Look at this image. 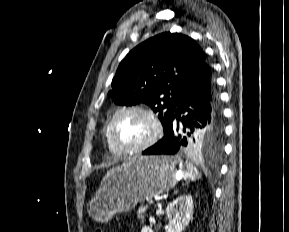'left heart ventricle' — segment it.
Instances as JSON below:
<instances>
[{
	"label": "left heart ventricle",
	"mask_w": 289,
	"mask_h": 232,
	"mask_svg": "<svg viewBox=\"0 0 289 232\" xmlns=\"http://www.w3.org/2000/svg\"><path fill=\"white\" fill-rule=\"evenodd\" d=\"M152 131L149 120L141 113L121 114L114 126L116 141L123 146H136L148 139Z\"/></svg>",
	"instance_id": "b2bd125f"
}]
</instances>
